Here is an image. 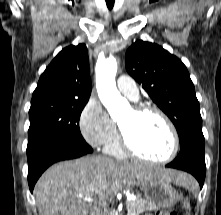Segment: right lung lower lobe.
Segmentation results:
<instances>
[{"instance_id": "98d812e1", "label": "right lung lower lobe", "mask_w": 221, "mask_h": 215, "mask_svg": "<svg viewBox=\"0 0 221 215\" xmlns=\"http://www.w3.org/2000/svg\"><path fill=\"white\" fill-rule=\"evenodd\" d=\"M93 149L85 141L59 138L43 142L27 150L28 183L33 192L40 175L53 163L81 157Z\"/></svg>"}]
</instances>
